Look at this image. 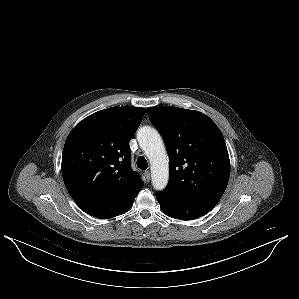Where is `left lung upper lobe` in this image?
Segmentation results:
<instances>
[{"mask_svg":"<svg viewBox=\"0 0 299 299\" xmlns=\"http://www.w3.org/2000/svg\"><path fill=\"white\" fill-rule=\"evenodd\" d=\"M151 122L163 136L170 158L167 195L220 200L229 180L230 160L216 124L194 110L148 108Z\"/></svg>","mask_w":299,"mask_h":299,"instance_id":"1","label":"left lung upper lobe"}]
</instances>
